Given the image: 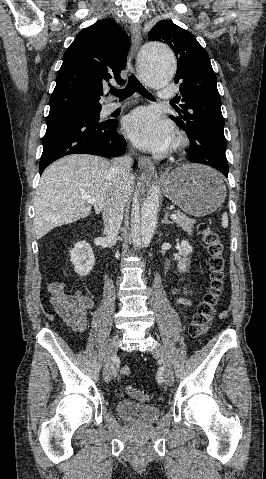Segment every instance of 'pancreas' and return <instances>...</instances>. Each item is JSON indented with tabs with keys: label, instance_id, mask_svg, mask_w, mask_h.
I'll list each match as a JSON object with an SVG mask.
<instances>
[{
	"label": "pancreas",
	"instance_id": "1",
	"mask_svg": "<svg viewBox=\"0 0 266 479\" xmlns=\"http://www.w3.org/2000/svg\"><path fill=\"white\" fill-rule=\"evenodd\" d=\"M175 214L177 215V219L174 220L175 223H177L179 226L182 227V229L188 233L193 232V225L195 224L194 219H190L187 217L184 213L180 211H174Z\"/></svg>",
	"mask_w": 266,
	"mask_h": 479
}]
</instances>
